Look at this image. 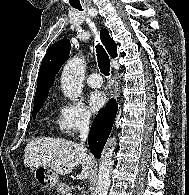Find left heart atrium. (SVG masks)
Wrapping results in <instances>:
<instances>
[{
	"label": "left heart atrium",
	"instance_id": "obj_1",
	"mask_svg": "<svg viewBox=\"0 0 189 195\" xmlns=\"http://www.w3.org/2000/svg\"><path fill=\"white\" fill-rule=\"evenodd\" d=\"M88 104L92 112H97L106 103V96L102 91L95 90L88 95Z\"/></svg>",
	"mask_w": 189,
	"mask_h": 195
}]
</instances>
